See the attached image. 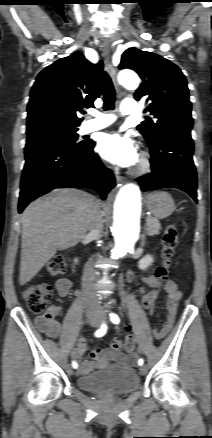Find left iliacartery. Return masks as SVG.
Returning a JSON list of instances; mask_svg holds the SVG:
<instances>
[{
  "label": "left iliac artery",
  "instance_id": "obj_1",
  "mask_svg": "<svg viewBox=\"0 0 212 438\" xmlns=\"http://www.w3.org/2000/svg\"><path fill=\"white\" fill-rule=\"evenodd\" d=\"M110 320L114 323V324H118L120 322L119 317L115 314V313H110ZM144 361L143 359H139L138 360V365H143Z\"/></svg>",
  "mask_w": 212,
  "mask_h": 438
}]
</instances>
